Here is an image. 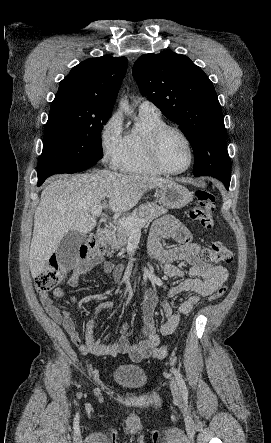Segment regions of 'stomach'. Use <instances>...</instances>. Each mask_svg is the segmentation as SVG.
<instances>
[{
	"label": "stomach",
	"mask_w": 271,
	"mask_h": 443,
	"mask_svg": "<svg viewBox=\"0 0 271 443\" xmlns=\"http://www.w3.org/2000/svg\"><path fill=\"white\" fill-rule=\"evenodd\" d=\"M192 192L176 182H168L160 186V202L166 208H184L192 202Z\"/></svg>",
	"instance_id": "0dacf381"
}]
</instances>
